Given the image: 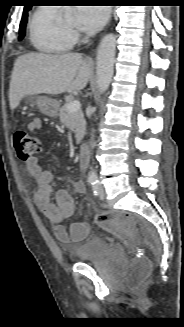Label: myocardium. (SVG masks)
I'll return each mask as SVG.
<instances>
[{"label":"myocardium","mask_w":184,"mask_h":327,"mask_svg":"<svg viewBox=\"0 0 184 327\" xmlns=\"http://www.w3.org/2000/svg\"><path fill=\"white\" fill-rule=\"evenodd\" d=\"M66 31H69V32H73L74 31V29L73 28H67V27H65V26H62Z\"/></svg>","instance_id":"myocardium-1"}]
</instances>
